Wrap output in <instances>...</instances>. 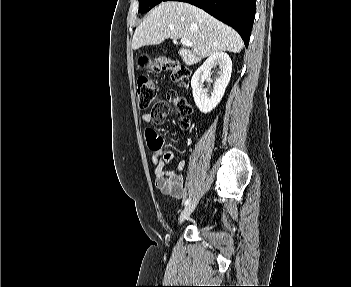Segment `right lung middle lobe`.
<instances>
[{
    "label": "right lung middle lobe",
    "instance_id": "right-lung-middle-lobe-1",
    "mask_svg": "<svg viewBox=\"0 0 351 287\" xmlns=\"http://www.w3.org/2000/svg\"><path fill=\"white\" fill-rule=\"evenodd\" d=\"M164 0H139V12L146 13Z\"/></svg>",
    "mask_w": 351,
    "mask_h": 287
}]
</instances>
